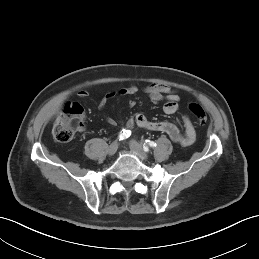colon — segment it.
Here are the masks:
<instances>
[{
    "instance_id": "obj_1",
    "label": "colon",
    "mask_w": 259,
    "mask_h": 259,
    "mask_svg": "<svg viewBox=\"0 0 259 259\" xmlns=\"http://www.w3.org/2000/svg\"><path fill=\"white\" fill-rule=\"evenodd\" d=\"M190 113L197 119L199 124L207 122V114L198 103L188 105ZM84 110L75 102H69L62 108L61 114L57 116L53 126V134L57 141L68 142L72 139L76 130L82 127Z\"/></svg>"
}]
</instances>
